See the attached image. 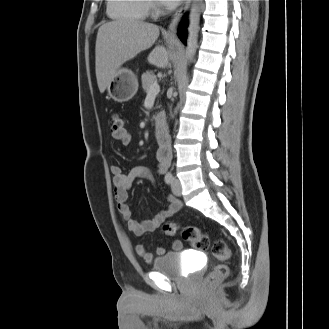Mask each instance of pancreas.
<instances>
[{"mask_svg": "<svg viewBox=\"0 0 329 329\" xmlns=\"http://www.w3.org/2000/svg\"><path fill=\"white\" fill-rule=\"evenodd\" d=\"M141 81L144 91L148 93L150 86L156 83L157 79L152 71H147L146 73L142 74Z\"/></svg>", "mask_w": 329, "mask_h": 329, "instance_id": "pancreas-1", "label": "pancreas"}]
</instances>
